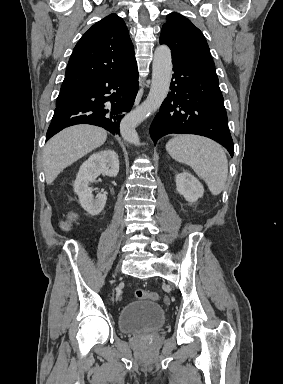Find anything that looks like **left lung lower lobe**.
<instances>
[{"label": "left lung lower lobe", "instance_id": "0a47b994", "mask_svg": "<svg viewBox=\"0 0 283 384\" xmlns=\"http://www.w3.org/2000/svg\"><path fill=\"white\" fill-rule=\"evenodd\" d=\"M174 81L155 116L150 135L154 143L170 133L197 134L223 145L233 156L224 99L214 71L172 59Z\"/></svg>", "mask_w": 283, "mask_h": 384}]
</instances>
